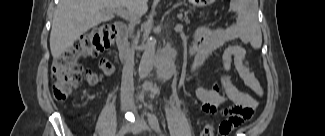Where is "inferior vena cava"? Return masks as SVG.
Returning <instances> with one entry per match:
<instances>
[{
    "mask_svg": "<svg viewBox=\"0 0 325 136\" xmlns=\"http://www.w3.org/2000/svg\"><path fill=\"white\" fill-rule=\"evenodd\" d=\"M127 2H135L128 0ZM122 96L131 99L134 91L133 82V62L132 59H128L125 63L122 71V83H121Z\"/></svg>",
    "mask_w": 325,
    "mask_h": 136,
    "instance_id": "inferior-vena-cava-1",
    "label": "inferior vena cava"
}]
</instances>
